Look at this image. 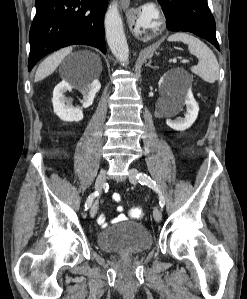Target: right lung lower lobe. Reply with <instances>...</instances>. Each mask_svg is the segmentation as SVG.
<instances>
[{
    "label": "right lung lower lobe",
    "mask_w": 247,
    "mask_h": 299,
    "mask_svg": "<svg viewBox=\"0 0 247 299\" xmlns=\"http://www.w3.org/2000/svg\"><path fill=\"white\" fill-rule=\"evenodd\" d=\"M109 0H36L28 71L45 55L73 44L106 53L103 19Z\"/></svg>",
    "instance_id": "1"
}]
</instances>
